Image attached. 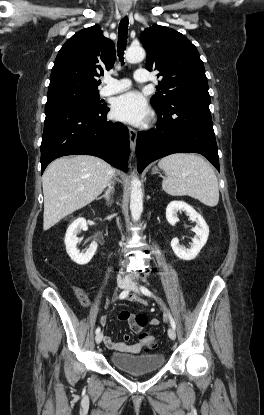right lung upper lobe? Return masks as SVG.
Returning <instances> with one entry per match:
<instances>
[{
  "mask_svg": "<svg viewBox=\"0 0 264 415\" xmlns=\"http://www.w3.org/2000/svg\"><path fill=\"white\" fill-rule=\"evenodd\" d=\"M115 45L105 38L99 26L73 35L59 50L51 71L48 98L66 93L98 92L104 70L112 68Z\"/></svg>",
  "mask_w": 264,
  "mask_h": 415,
  "instance_id": "obj_1",
  "label": "right lung upper lobe"
}]
</instances>
